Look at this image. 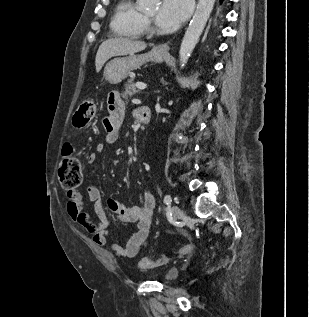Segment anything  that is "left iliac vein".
Segmentation results:
<instances>
[{"label":"left iliac vein","mask_w":309,"mask_h":317,"mask_svg":"<svg viewBox=\"0 0 309 317\" xmlns=\"http://www.w3.org/2000/svg\"><path fill=\"white\" fill-rule=\"evenodd\" d=\"M182 214L181 209L177 205L171 207V216L173 220H177Z\"/></svg>","instance_id":"obj_1"}]
</instances>
